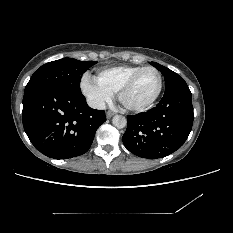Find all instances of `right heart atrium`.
<instances>
[{"instance_id": "obj_1", "label": "right heart atrium", "mask_w": 233, "mask_h": 233, "mask_svg": "<svg viewBox=\"0 0 233 233\" xmlns=\"http://www.w3.org/2000/svg\"><path fill=\"white\" fill-rule=\"evenodd\" d=\"M81 89L93 107L102 108L111 100V94L88 75L83 77Z\"/></svg>"}]
</instances>
